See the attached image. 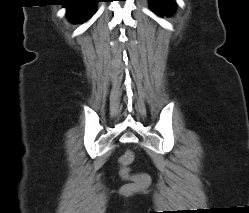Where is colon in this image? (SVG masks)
Returning a JSON list of instances; mask_svg holds the SVG:
<instances>
[{
    "instance_id": "obj_1",
    "label": "colon",
    "mask_w": 249,
    "mask_h": 213,
    "mask_svg": "<svg viewBox=\"0 0 249 213\" xmlns=\"http://www.w3.org/2000/svg\"><path fill=\"white\" fill-rule=\"evenodd\" d=\"M134 159V155L131 151H127L121 158H120V164H121V175L124 178H130L131 175L129 173L128 166L131 164V162ZM139 179L142 178V176L138 177Z\"/></svg>"
}]
</instances>
